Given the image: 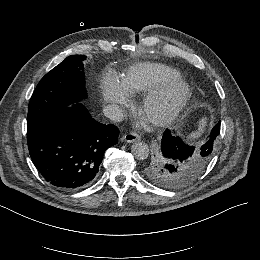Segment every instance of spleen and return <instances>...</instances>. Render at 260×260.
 I'll list each match as a JSON object with an SVG mask.
<instances>
[{
  "instance_id": "3e777b00",
  "label": "spleen",
  "mask_w": 260,
  "mask_h": 260,
  "mask_svg": "<svg viewBox=\"0 0 260 260\" xmlns=\"http://www.w3.org/2000/svg\"><path fill=\"white\" fill-rule=\"evenodd\" d=\"M207 117H203L198 121V129L196 131H192L190 134L187 135L186 140L187 141H194L202 136V134L205 132V129L207 127Z\"/></svg>"
}]
</instances>
